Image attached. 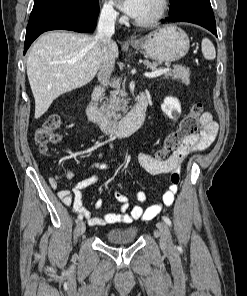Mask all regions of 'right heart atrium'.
<instances>
[{
  "instance_id": "1",
  "label": "right heart atrium",
  "mask_w": 247,
  "mask_h": 296,
  "mask_svg": "<svg viewBox=\"0 0 247 296\" xmlns=\"http://www.w3.org/2000/svg\"><path fill=\"white\" fill-rule=\"evenodd\" d=\"M101 15L108 20H115L118 17L114 4L111 0H103L101 5Z\"/></svg>"
}]
</instances>
